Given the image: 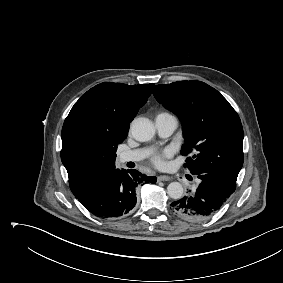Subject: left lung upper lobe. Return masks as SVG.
I'll return each instance as SVG.
<instances>
[{
  "instance_id": "left-lung-upper-lobe-1",
  "label": "left lung upper lobe",
  "mask_w": 283,
  "mask_h": 283,
  "mask_svg": "<svg viewBox=\"0 0 283 283\" xmlns=\"http://www.w3.org/2000/svg\"><path fill=\"white\" fill-rule=\"evenodd\" d=\"M156 100L176 114L183 126L181 154L192 174H217L234 181L244 161L243 128L237 112L214 88L201 81L159 84Z\"/></svg>"
}]
</instances>
